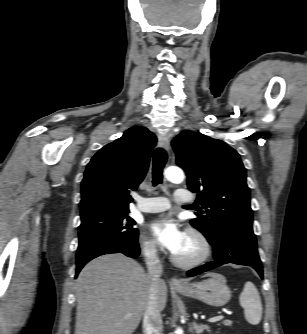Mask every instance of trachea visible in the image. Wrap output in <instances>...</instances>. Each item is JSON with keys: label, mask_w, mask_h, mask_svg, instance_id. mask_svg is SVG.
<instances>
[{"label": "trachea", "mask_w": 307, "mask_h": 334, "mask_svg": "<svg viewBox=\"0 0 307 334\" xmlns=\"http://www.w3.org/2000/svg\"><path fill=\"white\" fill-rule=\"evenodd\" d=\"M167 162V153L163 148H157L153 155V186L162 184L163 182V168ZM188 207H195L194 205H188Z\"/></svg>", "instance_id": "obj_1"}]
</instances>
